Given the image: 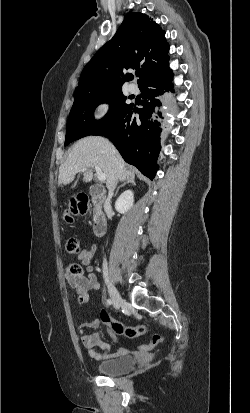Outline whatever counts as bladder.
I'll list each match as a JSON object with an SVG mask.
<instances>
[{"label":"bladder","instance_id":"obj_1","mask_svg":"<svg viewBox=\"0 0 250 413\" xmlns=\"http://www.w3.org/2000/svg\"><path fill=\"white\" fill-rule=\"evenodd\" d=\"M136 360L131 355H122L99 363L96 370L107 376L124 374L135 366Z\"/></svg>","mask_w":250,"mask_h":413}]
</instances>
